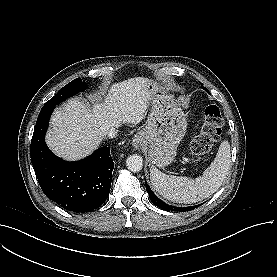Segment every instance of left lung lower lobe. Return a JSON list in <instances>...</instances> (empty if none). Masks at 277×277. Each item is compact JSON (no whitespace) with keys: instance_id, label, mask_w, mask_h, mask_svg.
<instances>
[{"instance_id":"left-lung-lower-lobe-1","label":"left lung lower lobe","mask_w":277,"mask_h":277,"mask_svg":"<svg viewBox=\"0 0 277 277\" xmlns=\"http://www.w3.org/2000/svg\"><path fill=\"white\" fill-rule=\"evenodd\" d=\"M146 183V190L150 196V199L151 201L159 208L165 210V211H181V212H184V211H191L193 209L196 208V206H191V207H180V208H177V207H173V206H169L168 204H166L165 202H163L162 200H160L154 193L153 191L151 190V188L149 187V185Z\"/></svg>"}]
</instances>
